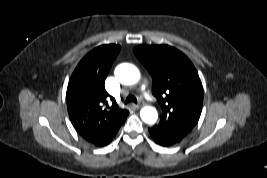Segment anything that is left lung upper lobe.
<instances>
[{
    "label": "left lung upper lobe",
    "mask_w": 267,
    "mask_h": 178,
    "mask_svg": "<svg viewBox=\"0 0 267 178\" xmlns=\"http://www.w3.org/2000/svg\"><path fill=\"white\" fill-rule=\"evenodd\" d=\"M134 53L152 77V93L163 115L155 125L180 142L197 124L203 87L192 62L169 45H140Z\"/></svg>",
    "instance_id": "5c2ea615"
}]
</instances>
